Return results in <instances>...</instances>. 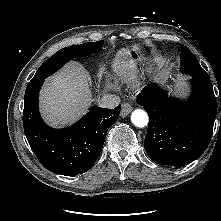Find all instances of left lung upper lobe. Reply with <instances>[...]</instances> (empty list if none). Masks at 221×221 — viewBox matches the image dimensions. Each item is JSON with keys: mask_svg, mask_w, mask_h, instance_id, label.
Here are the masks:
<instances>
[{"mask_svg": "<svg viewBox=\"0 0 221 221\" xmlns=\"http://www.w3.org/2000/svg\"><path fill=\"white\" fill-rule=\"evenodd\" d=\"M179 51H181V69L183 72L195 75L206 74L188 48L180 44Z\"/></svg>", "mask_w": 221, "mask_h": 221, "instance_id": "obj_1", "label": "left lung upper lobe"}]
</instances>
